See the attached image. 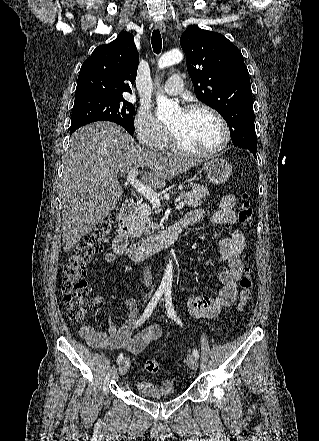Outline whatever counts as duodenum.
Masks as SVG:
<instances>
[{
    "label": "duodenum",
    "instance_id": "obj_1",
    "mask_svg": "<svg viewBox=\"0 0 319 441\" xmlns=\"http://www.w3.org/2000/svg\"><path fill=\"white\" fill-rule=\"evenodd\" d=\"M135 206L136 201L134 198L127 199L121 206L118 214V232L113 240L112 247L116 254L126 253L133 261L139 262L177 240L184 229V224L180 221L170 226L164 232L149 236L128 247L129 220Z\"/></svg>",
    "mask_w": 319,
    "mask_h": 441
}]
</instances>
